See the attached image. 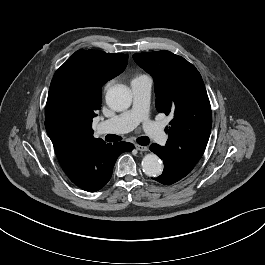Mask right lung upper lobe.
I'll return each instance as SVG.
<instances>
[{
  "label": "right lung upper lobe",
  "instance_id": "1",
  "mask_svg": "<svg viewBox=\"0 0 265 265\" xmlns=\"http://www.w3.org/2000/svg\"><path fill=\"white\" fill-rule=\"evenodd\" d=\"M128 55L96 50H78L63 65L70 67L74 81L87 91V98L68 121L46 115L45 127L63 169L74 164L94 144L92 119L101 107V87L125 69Z\"/></svg>",
  "mask_w": 265,
  "mask_h": 265
}]
</instances>
